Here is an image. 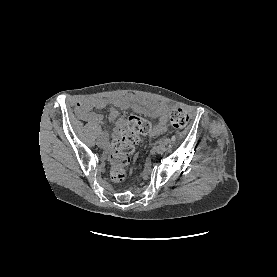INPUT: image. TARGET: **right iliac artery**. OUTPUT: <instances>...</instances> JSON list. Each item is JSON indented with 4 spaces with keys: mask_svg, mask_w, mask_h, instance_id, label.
<instances>
[{
    "mask_svg": "<svg viewBox=\"0 0 277 277\" xmlns=\"http://www.w3.org/2000/svg\"><path fill=\"white\" fill-rule=\"evenodd\" d=\"M107 136V134L105 132H101L99 134V138H105Z\"/></svg>",
    "mask_w": 277,
    "mask_h": 277,
    "instance_id": "right-iliac-artery-1",
    "label": "right iliac artery"
}]
</instances>
